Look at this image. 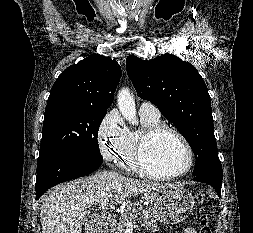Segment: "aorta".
<instances>
[{"instance_id":"obj_1","label":"aorta","mask_w":253,"mask_h":233,"mask_svg":"<svg viewBox=\"0 0 253 233\" xmlns=\"http://www.w3.org/2000/svg\"><path fill=\"white\" fill-rule=\"evenodd\" d=\"M117 105L123 117L132 125L137 123L134 97L127 88L119 91Z\"/></svg>"}]
</instances>
